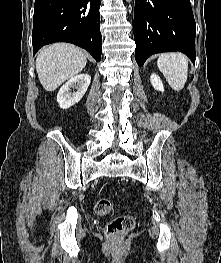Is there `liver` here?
I'll use <instances>...</instances> for the list:
<instances>
[{"label": "liver", "instance_id": "liver-1", "mask_svg": "<svg viewBox=\"0 0 221 263\" xmlns=\"http://www.w3.org/2000/svg\"><path fill=\"white\" fill-rule=\"evenodd\" d=\"M86 63V56L78 47L68 43H55L39 52L36 71L43 88L54 91L81 72Z\"/></svg>", "mask_w": 221, "mask_h": 263}]
</instances>
